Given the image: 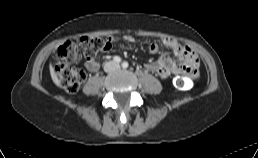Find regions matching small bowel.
Here are the masks:
<instances>
[{"label": "small bowel", "instance_id": "1", "mask_svg": "<svg viewBox=\"0 0 258 158\" xmlns=\"http://www.w3.org/2000/svg\"><path fill=\"white\" fill-rule=\"evenodd\" d=\"M125 40L129 43H134V37L125 36ZM161 47L171 49L178 61H174L168 56H161L154 62L145 64V68L155 73L158 77L166 79L171 75H184L189 79H195L198 76L199 59L198 56L188 47L182 45L175 38H163L159 43H152L149 45L151 52H157ZM85 67L91 71H98L100 63L96 58H87Z\"/></svg>", "mask_w": 258, "mask_h": 158}]
</instances>
